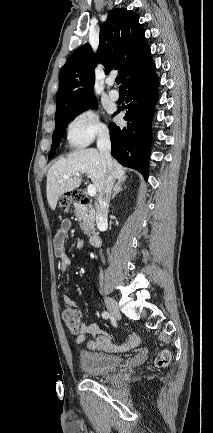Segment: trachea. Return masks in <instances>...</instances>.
<instances>
[{"mask_svg":"<svg viewBox=\"0 0 213 433\" xmlns=\"http://www.w3.org/2000/svg\"><path fill=\"white\" fill-rule=\"evenodd\" d=\"M120 82H121L120 77H117V78H116V83H117V84H120ZM120 87H121V86H120Z\"/></svg>","mask_w":213,"mask_h":433,"instance_id":"obj_1","label":"trachea"}]
</instances>
